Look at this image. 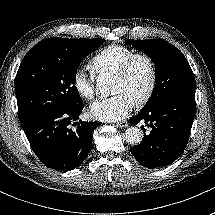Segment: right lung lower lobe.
I'll return each mask as SVG.
<instances>
[{
    "label": "right lung lower lobe",
    "instance_id": "98d812e1",
    "mask_svg": "<svg viewBox=\"0 0 215 215\" xmlns=\"http://www.w3.org/2000/svg\"><path fill=\"white\" fill-rule=\"evenodd\" d=\"M83 104L75 109L48 107L32 113L20 121L30 145L48 168L69 171L80 166L91 149L93 131L100 126L95 122H75Z\"/></svg>",
    "mask_w": 215,
    "mask_h": 215
}]
</instances>
